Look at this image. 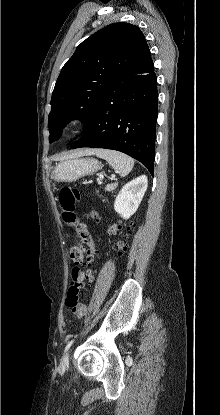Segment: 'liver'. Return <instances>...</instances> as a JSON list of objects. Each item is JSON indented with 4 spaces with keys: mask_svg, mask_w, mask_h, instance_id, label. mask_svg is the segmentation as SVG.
I'll list each match as a JSON object with an SVG mask.
<instances>
[{
    "mask_svg": "<svg viewBox=\"0 0 220 415\" xmlns=\"http://www.w3.org/2000/svg\"><path fill=\"white\" fill-rule=\"evenodd\" d=\"M96 150H86L84 152H80L79 154L83 155V154H93Z\"/></svg>",
    "mask_w": 220,
    "mask_h": 415,
    "instance_id": "6515ba94",
    "label": "liver"
}]
</instances>
